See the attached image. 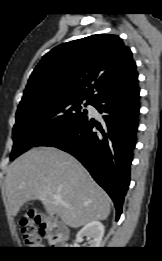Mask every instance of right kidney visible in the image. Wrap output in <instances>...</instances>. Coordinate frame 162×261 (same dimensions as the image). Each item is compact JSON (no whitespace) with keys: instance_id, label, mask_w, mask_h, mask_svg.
<instances>
[{"instance_id":"right-kidney-1","label":"right kidney","mask_w":162,"mask_h":261,"mask_svg":"<svg viewBox=\"0 0 162 261\" xmlns=\"http://www.w3.org/2000/svg\"><path fill=\"white\" fill-rule=\"evenodd\" d=\"M86 236L89 239L90 248L100 247L104 236V226L99 221H92L86 224L76 235L77 241H81Z\"/></svg>"}]
</instances>
